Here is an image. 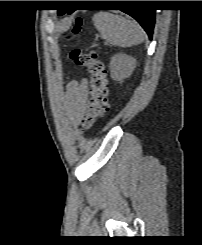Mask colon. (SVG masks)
<instances>
[{"label":"colon","instance_id":"obj_1","mask_svg":"<svg viewBox=\"0 0 202 245\" xmlns=\"http://www.w3.org/2000/svg\"><path fill=\"white\" fill-rule=\"evenodd\" d=\"M81 23L76 21L73 31L79 32ZM70 60L83 69L88 77L87 101L83 115V125L91 127L102 119L108 111L109 81L105 64L94 51L73 49Z\"/></svg>","mask_w":202,"mask_h":245}]
</instances>
